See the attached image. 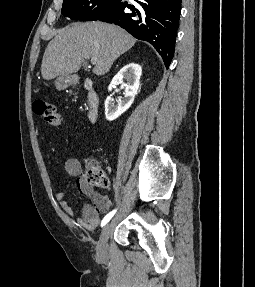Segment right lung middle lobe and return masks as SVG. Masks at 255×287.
<instances>
[{
    "label": "right lung middle lobe",
    "mask_w": 255,
    "mask_h": 287,
    "mask_svg": "<svg viewBox=\"0 0 255 287\" xmlns=\"http://www.w3.org/2000/svg\"><path fill=\"white\" fill-rule=\"evenodd\" d=\"M122 0H64L62 14L70 19L92 21L104 18Z\"/></svg>",
    "instance_id": "dd1d6c3e"
}]
</instances>
